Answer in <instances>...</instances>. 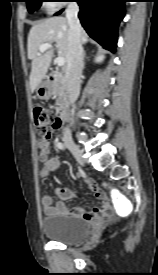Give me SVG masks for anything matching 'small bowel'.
Masks as SVG:
<instances>
[{"mask_svg": "<svg viewBox=\"0 0 158 275\" xmlns=\"http://www.w3.org/2000/svg\"><path fill=\"white\" fill-rule=\"evenodd\" d=\"M62 128V124L56 130H60ZM40 152H39V159L43 163L42 167L40 168L39 174L41 178H47L51 174L52 171L57 169L60 165V159L58 157H50V146L49 143L47 144H40L38 143ZM88 187L92 189L96 196L101 200L102 206L95 207L90 212H85L81 208H73L70 209L64 205L62 200L70 199L73 197V192L69 188H57L55 190L57 196L61 201L57 202V204L53 205L52 197L48 194H44L41 198V207L45 214H52V213H70L76 216H81L86 219H96L99 217H103V212L109 208V201L107 196L98 188V186L92 182H88Z\"/></svg>", "mask_w": 158, "mask_h": 275, "instance_id": "obj_1", "label": "small bowel"}]
</instances>
